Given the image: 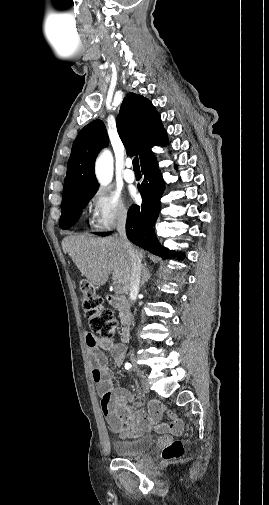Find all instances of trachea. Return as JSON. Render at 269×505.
<instances>
[{"instance_id":"trachea-1","label":"trachea","mask_w":269,"mask_h":505,"mask_svg":"<svg viewBox=\"0 0 269 505\" xmlns=\"http://www.w3.org/2000/svg\"><path fill=\"white\" fill-rule=\"evenodd\" d=\"M133 168H134V170H140V166H139V159H138V157H135V158L133 159Z\"/></svg>"}]
</instances>
